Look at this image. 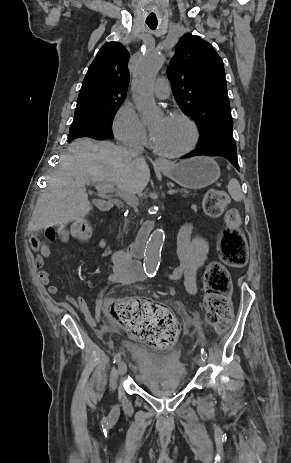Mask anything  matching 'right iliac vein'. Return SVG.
<instances>
[{
    "label": "right iliac vein",
    "instance_id": "obj_1",
    "mask_svg": "<svg viewBox=\"0 0 291 463\" xmlns=\"http://www.w3.org/2000/svg\"><path fill=\"white\" fill-rule=\"evenodd\" d=\"M127 372V365L124 360L119 361L118 363V373L120 376H124Z\"/></svg>",
    "mask_w": 291,
    "mask_h": 463
}]
</instances>
